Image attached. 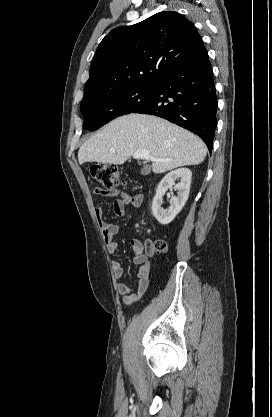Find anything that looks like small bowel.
Returning <instances> with one entry per match:
<instances>
[{"label":"small bowel","mask_w":272,"mask_h":417,"mask_svg":"<svg viewBox=\"0 0 272 417\" xmlns=\"http://www.w3.org/2000/svg\"><path fill=\"white\" fill-rule=\"evenodd\" d=\"M93 194L96 196L115 198L114 212L117 216H123L127 206L138 208L143 203V195H130L114 187H95L93 189ZM95 216L108 252L110 254H115L118 251L119 246L118 243L114 241V237L119 232V225L107 223L104 220L103 212L99 207H95ZM131 247L133 251V262L139 265L137 273L138 281L133 287L123 282L116 284V291L121 295L123 303L127 305L138 301L148 289L151 272V264L148 259L153 252L152 245L149 241L142 243L140 240L134 239L131 242ZM112 270L116 279H122L124 277V269L120 262L113 261Z\"/></svg>","instance_id":"c3829d8e"}]
</instances>
